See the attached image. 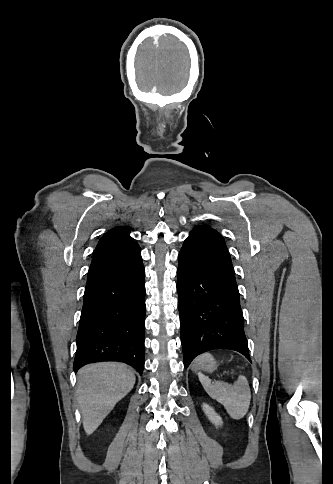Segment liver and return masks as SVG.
Masks as SVG:
<instances>
[{
  "instance_id": "6515ba94",
  "label": "liver",
  "mask_w": 333,
  "mask_h": 484,
  "mask_svg": "<svg viewBox=\"0 0 333 484\" xmlns=\"http://www.w3.org/2000/svg\"><path fill=\"white\" fill-rule=\"evenodd\" d=\"M134 384V373L121 363L88 364L78 371V403L87 435L99 427Z\"/></svg>"
}]
</instances>
